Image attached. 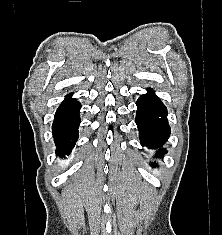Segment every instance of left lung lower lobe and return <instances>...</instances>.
<instances>
[{"label": "left lung lower lobe", "instance_id": "left-lung-lower-lobe-1", "mask_svg": "<svg viewBox=\"0 0 222 235\" xmlns=\"http://www.w3.org/2000/svg\"><path fill=\"white\" fill-rule=\"evenodd\" d=\"M136 105L135 122L139 130L141 145L151 149L159 148L170 135L166 107L151 89H148L147 94L140 96ZM164 153L166 150L161 148L155 157H160ZM153 166L155 167L156 164L153 163Z\"/></svg>", "mask_w": 222, "mask_h": 235}]
</instances>
